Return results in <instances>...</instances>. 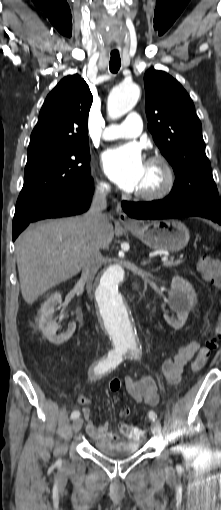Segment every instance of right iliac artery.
Masks as SVG:
<instances>
[{"instance_id":"obj_1","label":"right iliac artery","mask_w":221,"mask_h":510,"mask_svg":"<svg viewBox=\"0 0 221 510\" xmlns=\"http://www.w3.org/2000/svg\"><path fill=\"white\" fill-rule=\"evenodd\" d=\"M123 352L120 350H110L107 357L102 358L94 367V373L97 375L104 374L111 369H114L122 361ZM80 416V412L75 410L71 414V419H76ZM58 463H61L58 460Z\"/></svg>"}]
</instances>
